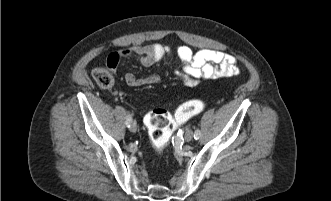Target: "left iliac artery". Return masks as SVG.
<instances>
[{
    "instance_id": "obj_1",
    "label": "left iliac artery",
    "mask_w": 331,
    "mask_h": 201,
    "mask_svg": "<svg viewBox=\"0 0 331 201\" xmlns=\"http://www.w3.org/2000/svg\"><path fill=\"white\" fill-rule=\"evenodd\" d=\"M194 138L197 140V139H200L201 138V131L199 129H197L194 133Z\"/></svg>"
}]
</instances>
